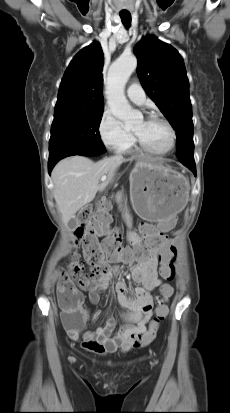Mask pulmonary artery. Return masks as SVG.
<instances>
[{"label":"pulmonary artery","instance_id":"obj_1","mask_svg":"<svg viewBox=\"0 0 230 413\" xmlns=\"http://www.w3.org/2000/svg\"><path fill=\"white\" fill-rule=\"evenodd\" d=\"M127 96L136 104H143L146 98L145 92L138 82H133L129 85Z\"/></svg>","mask_w":230,"mask_h":413}]
</instances>
